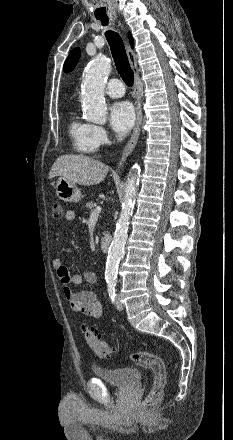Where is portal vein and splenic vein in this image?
<instances>
[{
  "label": "portal vein and splenic vein",
  "instance_id": "obj_1",
  "mask_svg": "<svg viewBox=\"0 0 233 440\" xmlns=\"http://www.w3.org/2000/svg\"><path fill=\"white\" fill-rule=\"evenodd\" d=\"M102 208L100 206L96 207L95 210L92 212V215L99 214L101 212Z\"/></svg>",
  "mask_w": 233,
  "mask_h": 440
}]
</instances>
